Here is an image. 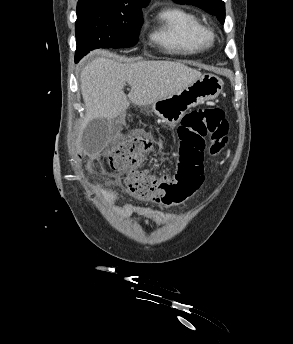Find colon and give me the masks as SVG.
<instances>
[{
	"label": "colon",
	"mask_w": 293,
	"mask_h": 344,
	"mask_svg": "<svg viewBox=\"0 0 293 344\" xmlns=\"http://www.w3.org/2000/svg\"><path fill=\"white\" fill-rule=\"evenodd\" d=\"M228 122L221 107L209 106L188 112L177 129L175 157L178 169L173 178H161L146 169L152 150L147 138H133L111 147L104 156L107 166L124 173V187L136 199L164 206L178 205L189 199L201 185L196 170L203 165L206 138L210 153L218 154L227 144Z\"/></svg>",
	"instance_id": "obj_1"
}]
</instances>
